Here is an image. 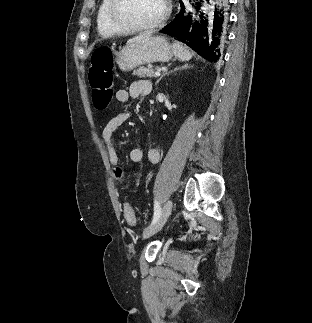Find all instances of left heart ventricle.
<instances>
[{
	"label": "left heart ventricle",
	"instance_id": "obj_1",
	"mask_svg": "<svg viewBox=\"0 0 312 323\" xmlns=\"http://www.w3.org/2000/svg\"><path fill=\"white\" fill-rule=\"evenodd\" d=\"M163 9V0H118L115 13L131 22H146L148 18H158Z\"/></svg>",
	"mask_w": 312,
	"mask_h": 323
}]
</instances>
